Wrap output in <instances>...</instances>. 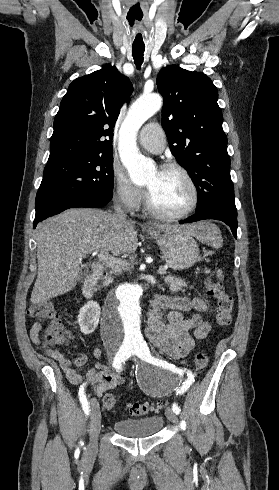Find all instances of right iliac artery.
<instances>
[{"mask_svg": "<svg viewBox=\"0 0 279 490\" xmlns=\"http://www.w3.org/2000/svg\"><path fill=\"white\" fill-rule=\"evenodd\" d=\"M111 358H112L113 367H115L116 369H121V366L124 363V361H127V359H128V354H127V352H113L111 355ZM83 385L85 386L86 384L84 383ZM84 389L85 388L82 387L79 390V399H80V402L82 403V407H83L85 414L89 415V412H90L89 403L86 399ZM80 443H81V445H84V443L82 441Z\"/></svg>", "mask_w": 279, "mask_h": 490, "instance_id": "1", "label": "right iliac artery"}]
</instances>
